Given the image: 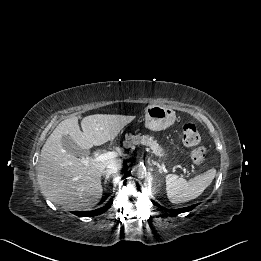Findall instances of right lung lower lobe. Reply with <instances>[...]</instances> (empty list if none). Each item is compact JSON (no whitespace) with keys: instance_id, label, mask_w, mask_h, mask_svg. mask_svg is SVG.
I'll list each match as a JSON object with an SVG mask.
<instances>
[{"instance_id":"right-lung-lower-lobe-1","label":"right lung lower lobe","mask_w":261,"mask_h":261,"mask_svg":"<svg viewBox=\"0 0 261 261\" xmlns=\"http://www.w3.org/2000/svg\"><path fill=\"white\" fill-rule=\"evenodd\" d=\"M112 202H113V199H111L105 206H103L99 209L93 210V211H77V212H73V213L79 217L96 216V215L102 214L106 210H108L110 208Z\"/></svg>"}]
</instances>
